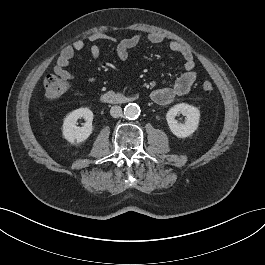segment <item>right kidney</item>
<instances>
[{
	"mask_svg": "<svg viewBox=\"0 0 265 265\" xmlns=\"http://www.w3.org/2000/svg\"><path fill=\"white\" fill-rule=\"evenodd\" d=\"M79 118H84V126L77 127ZM93 112L88 108H79L70 112L64 119L62 132L64 138L70 143H81L88 139L93 131Z\"/></svg>",
	"mask_w": 265,
	"mask_h": 265,
	"instance_id": "1",
	"label": "right kidney"
}]
</instances>
